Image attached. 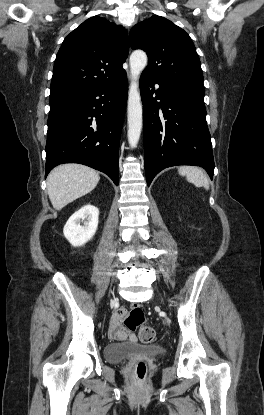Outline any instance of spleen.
<instances>
[{
    "mask_svg": "<svg viewBox=\"0 0 264 415\" xmlns=\"http://www.w3.org/2000/svg\"><path fill=\"white\" fill-rule=\"evenodd\" d=\"M180 175L185 176L187 181L197 187L209 189V181L206 174L198 167L182 166L178 169Z\"/></svg>",
    "mask_w": 264,
    "mask_h": 415,
    "instance_id": "1",
    "label": "spleen"
}]
</instances>
